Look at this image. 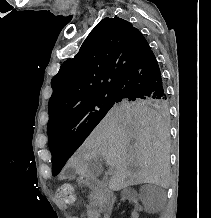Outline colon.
Here are the masks:
<instances>
[{
  "label": "colon",
  "mask_w": 211,
  "mask_h": 218,
  "mask_svg": "<svg viewBox=\"0 0 211 218\" xmlns=\"http://www.w3.org/2000/svg\"><path fill=\"white\" fill-rule=\"evenodd\" d=\"M57 199L64 204H72L75 201V194L70 184L61 185L56 192Z\"/></svg>",
  "instance_id": "obj_1"
}]
</instances>
